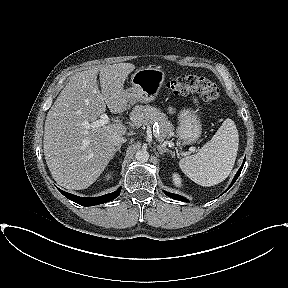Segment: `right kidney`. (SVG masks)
<instances>
[{"instance_id":"right-kidney-1","label":"right kidney","mask_w":288,"mask_h":288,"mask_svg":"<svg viewBox=\"0 0 288 288\" xmlns=\"http://www.w3.org/2000/svg\"><path fill=\"white\" fill-rule=\"evenodd\" d=\"M111 178V174H107L106 180H109Z\"/></svg>"}]
</instances>
